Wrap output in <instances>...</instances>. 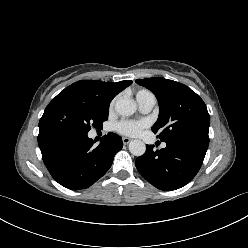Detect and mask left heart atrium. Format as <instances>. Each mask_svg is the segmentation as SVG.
Instances as JSON below:
<instances>
[{
	"instance_id": "39dd6f15",
	"label": "left heart atrium",
	"mask_w": 248,
	"mask_h": 248,
	"mask_svg": "<svg viewBox=\"0 0 248 248\" xmlns=\"http://www.w3.org/2000/svg\"><path fill=\"white\" fill-rule=\"evenodd\" d=\"M146 127V122L141 120H121L115 126L116 130L128 136H137Z\"/></svg>"
}]
</instances>
